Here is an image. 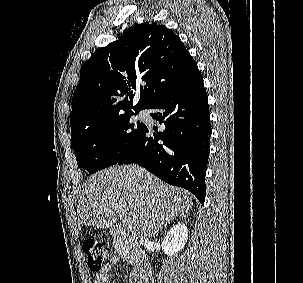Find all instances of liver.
I'll return each instance as SVG.
<instances>
[{
	"label": "liver",
	"instance_id": "1",
	"mask_svg": "<svg viewBox=\"0 0 303 283\" xmlns=\"http://www.w3.org/2000/svg\"><path fill=\"white\" fill-rule=\"evenodd\" d=\"M192 205L188 191L164 183L142 167L112 166L84 185L77 206L78 229L84 224L112 228L119 214L130 218L132 235L145 228L154 236Z\"/></svg>",
	"mask_w": 303,
	"mask_h": 283
}]
</instances>
